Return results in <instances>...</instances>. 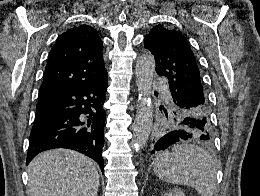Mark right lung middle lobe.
<instances>
[{
    "label": "right lung middle lobe",
    "instance_id": "dd1d6c3e",
    "mask_svg": "<svg viewBox=\"0 0 260 196\" xmlns=\"http://www.w3.org/2000/svg\"><path fill=\"white\" fill-rule=\"evenodd\" d=\"M45 116H42V115H36L35 116V121H37V120H40V119H42V118H44Z\"/></svg>",
    "mask_w": 260,
    "mask_h": 196
}]
</instances>
